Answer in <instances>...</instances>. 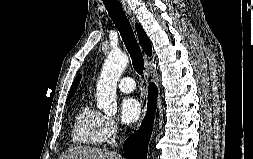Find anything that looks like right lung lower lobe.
Returning <instances> with one entry per match:
<instances>
[{
    "mask_svg": "<svg viewBox=\"0 0 253 159\" xmlns=\"http://www.w3.org/2000/svg\"><path fill=\"white\" fill-rule=\"evenodd\" d=\"M157 98V88L149 86L148 111L139 130L132 134L123 145L127 159H147V148L152 133L153 116Z\"/></svg>",
    "mask_w": 253,
    "mask_h": 159,
    "instance_id": "1",
    "label": "right lung lower lobe"
}]
</instances>
